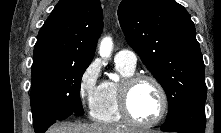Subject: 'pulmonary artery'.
<instances>
[{
    "instance_id": "1",
    "label": "pulmonary artery",
    "mask_w": 221,
    "mask_h": 133,
    "mask_svg": "<svg viewBox=\"0 0 221 133\" xmlns=\"http://www.w3.org/2000/svg\"><path fill=\"white\" fill-rule=\"evenodd\" d=\"M115 62L129 68H135L137 64L136 54L130 50H121L115 56Z\"/></svg>"
}]
</instances>
